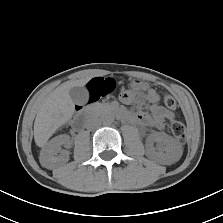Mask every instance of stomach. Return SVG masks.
Returning a JSON list of instances; mask_svg holds the SVG:
<instances>
[{
	"instance_id": "0dacf381",
	"label": "stomach",
	"mask_w": 223,
	"mask_h": 223,
	"mask_svg": "<svg viewBox=\"0 0 223 223\" xmlns=\"http://www.w3.org/2000/svg\"><path fill=\"white\" fill-rule=\"evenodd\" d=\"M130 87L133 90H138V89H145L147 87V85L143 81L134 80V81H132Z\"/></svg>"
}]
</instances>
